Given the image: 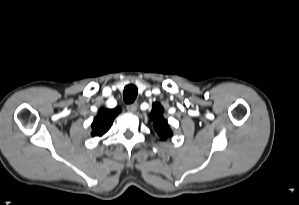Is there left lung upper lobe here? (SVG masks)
Returning a JSON list of instances; mask_svg holds the SVG:
<instances>
[{
	"instance_id": "obj_1",
	"label": "left lung upper lobe",
	"mask_w": 299,
	"mask_h": 205,
	"mask_svg": "<svg viewBox=\"0 0 299 205\" xmlns=\"http://www.w3.org/2000/svg\"><path fill=\"white\" fill-rule=\"evenodd\" d=\"M163 111V107L159 103H154L150 113V119L154 122V129L161 139L166 140L168 137L172 136V131L167 120L163 117Z\"/></svg>"
}]
</instances>
